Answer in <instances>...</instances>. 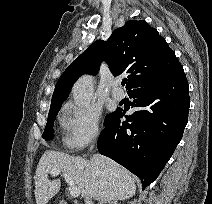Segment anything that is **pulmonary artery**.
Segmentation results:
<instances>
[{
  "label": "pulmonary artery",
  "mask_w": 212,
  "mask_h": 204,
  "mask_svg": "<svg viewBox=\"0 0 212 204\" xmlns=\"http://www.w3.org/2000/svg\"><path fill=\"white\" fill-rule=\"evenodd\" d=\"M111 94L116 101H121L125 97L124 91L120 88L119 80L114 82Z\"/></svg>",
  "instance_id": "e3ab8cb5"
}]
</instances>
